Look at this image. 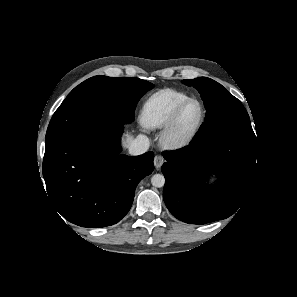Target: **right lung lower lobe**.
Here are the masks:
<instances>
[{"mask_svg": "<svg viewBox=\"0 0 297 297\" xmlns=\"http://www.w3.org/2000/svg\"><path fill=\"white\" fill-rule=\"evenodd\" d=\"M123 125L93 127L45 149L47 193L68 221L106 227L130 210L137 184L154 170V154L120 155Z\"/></svg>", "mask_w": 297, "mask_h": 297, "instance_id": "1", "label": "right lung lower lobe"}]
</instances>
